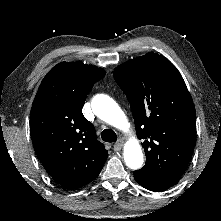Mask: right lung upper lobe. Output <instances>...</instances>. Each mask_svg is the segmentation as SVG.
I'll return each mask as SVG.
<instances>
[{"mask_svg":"<svg viewBox=\"0 0 221 221\" xmlns=\"http://www.w3.org/2000/svg\"><path fill=\"white\" fill-rule=\"evenodd\" d=\"M105 71L80 62H61L44 77L30 115L32 143L52 178L69 189L82 187L100 173L108 151L98 142L82 107Z\"/></svg>","mask_w":221,"mask_h":221,"instance_id":"1","label":"right lung upper lobe"}]
</instances>
